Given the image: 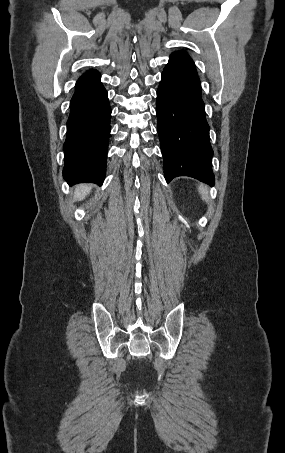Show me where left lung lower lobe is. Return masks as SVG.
<instances>
[{
  "label": "left lung lower lobe",
  "instance_id": "1",
  "mask_svg": "<svg viewBox=\"0 0 285 453\" xmlns=\"http://www.w3.org/2000/svg\"><path fill=\"white\" fill-rule=\"evenodd\" d=\"M156 113L166 181L189 176L213 185V150L200 79L184 51L172 53L162 72Z\"/></svg>",
  "mask_w": 285,
  "mask_h": 453
}]
</instances>
